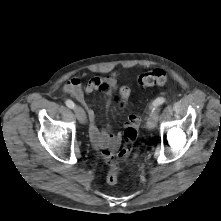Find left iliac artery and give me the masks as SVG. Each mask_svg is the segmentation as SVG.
Segmentation results:
<instances>
[{
  "label": "left iliac artery",
  "instance_id": "1",
  "mask_svg": "<svg viewBox=\"0 0 221 221\" xmlns=\"http://www.w3.org/2000/svg\"><path fill=\"white\" fill-rule=\"evenodd\" d=\"M164 102H165V98H163V97L157 98V99L153 102V106H154V107L160 106V105H162ZM154 109H155V108H154Z\"/></svg>",
  "mask_w": 221,
  "mask_h": 221
}]
</instances>
